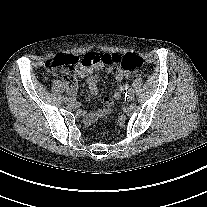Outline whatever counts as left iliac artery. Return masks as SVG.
<instances>
[{
  "instance_id": "obj_1",
  "label": "left iliac artery",
  "mask_w": 207,
  "mask_h": 207,
  "mask_svg": "<svg viewBox=\"0 0 207 207\" xmlns=\"http://www.w3.org/2000/svg\"><path fill=\"white\" fill-rule=\"evenodd\" d=\"M127 94H128L129 96H133V95L135 94V91H134L133 89H129V90L127 91Z\"/></svg>"
}]
</instances>
